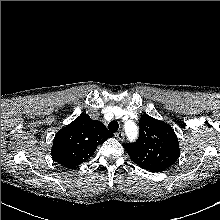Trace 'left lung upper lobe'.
Here are the masks:
<instances>
[{
	"mask_svg": "<svg viewBox=\"0 0 220 220\" xmlns=\"http://www.w3.org/2000/svg\"><path fill=\"white\" fill-rule=\"evenodd\" d=\"M139 125L137 141L122 144L130 158L151 172H160L173 165L180 155V148L171 126L147 114L140 118Z\"/></svg>",
	"mask_w": 220,
	"mask_h": 220,
	"instance_id": "left-lung-upper-lobe-1",
	"label": "left lung upper lobe"
}]
</instances>
